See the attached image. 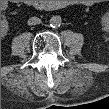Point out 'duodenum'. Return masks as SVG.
<instances>
[{
  "instance_id": "duodenum-1",
  "label": "duodenum",
  "mask_w": 109,
  "mask_h": 109,
  "mask_svg": "<svg viewBox=\"0 0 109 109\" xmlns=\"http://www.w3.org/2000/svg\"><path fill=\"white\" fill-rule=\"evenodd\" d=\"M26 5L34 8H39L41 10L51 9L53 5L45 1H26Z\"/></svg>"
}]
</instances>
